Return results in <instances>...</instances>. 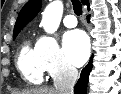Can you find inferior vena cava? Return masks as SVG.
Segmentation results:
<instances>
[{"mask_svg": "<svg viewBox=\"0 0 121 94\" xmlns=\"http://www.w3.org/2000/svg\"><path fill=\"white\" fill-rule=\"evenodd\" d=\"M78 78V70L71 65L64 66L54 80L58 94H73L74 85Z\"/></svg>", "mask_w": 121, "mask_h": 94, "instance_id": "inferior-vena-cava-1", "label": "inferior vena cava"}]
</instances>
